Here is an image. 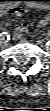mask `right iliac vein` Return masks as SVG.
Listing matches in <instances>:
<instances>
[{"instance_id":"1","label":"right iliac vein","mask_w":50,"mask_h":111,"mask_svg":"<svg viewBox=\"0 0 50 111\" xmlns=\"http://www.w3.org/2000/svg\"><path fill=\"white\" fill-rule=\"evenodd\" d=\"M6 44H7V41H6L5 37L1 36V38H0V45L1 46H5Z\"/></svg>"}]
</instances>
